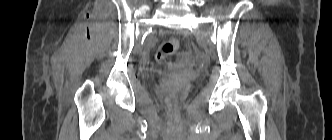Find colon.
Returning <instances> with one entry per match:
<instances>
[{
	"label": "colon",
	"mask_w": 332,
	"mask_h": 140,
	"mask_svg": "<svg viewBox=\"0 0 332 140\" xmlns=\"http://www.w3.org/2000/svg\"><path fill=\"white\" fill-rule=\"evenodd\" d=\"M179 43L175 39L164 41L158 47L155 57L159 62H170L177 51Z\"/></svg>",
	"instance_id": "5ec220e1"
}]
</instances>
